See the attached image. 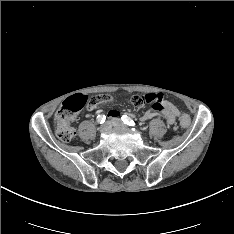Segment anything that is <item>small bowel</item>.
<instances>
[{
	"mask_svg": "<svg viewBox=\"0 0 234 234\" xmlns=\"http://www.w3.org/2000/svg\"><path fill=\"white\" fill-rule=\"evenodd\" d=\"M102 105L108 104L113 101L111 96L103 95L99 96ZM108 115L110 117H118L120 113L116 110H111ZM157 115L164 117L169 125H172L175 120L180 116L179 109L171 102L163 100L159 108H153L149 111L144 112L141 115L142 121H147L154 118Z\"/></svg>",
	"mask_w": 234,
	"mask_h": 234,
	"instance_id": "c3829d8e",
	"label": "small bowel"
}]
</instances>
